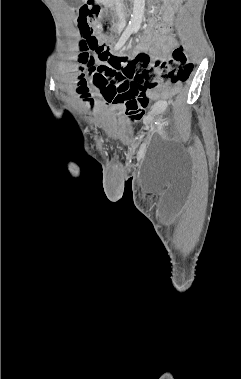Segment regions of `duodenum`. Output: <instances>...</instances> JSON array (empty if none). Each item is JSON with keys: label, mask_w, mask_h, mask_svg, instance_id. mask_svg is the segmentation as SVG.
I'll return each mask as SVG.
<instances>
[{"label": "duodenum", "mask_w": 241, "mask_h": 379, "mask_svg": "<svg viewBox=\"0 0 241 379\" xmlns=\"http://www.w3.org/2000/svg\"><path fill=\"white\" fill-rule=\"evenodd\" d=\"M104 1L109 6H111L113 4V0H104Z\"/></svg>", "instance_id": "410a0bca"}]
</instances>
